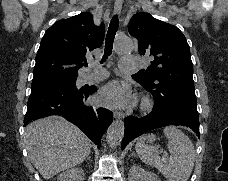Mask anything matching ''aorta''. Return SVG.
Returning <instances> with one entry per match:
<instances>
[{
  "label": "aorta",
  "instance_id": "aorta-1",
  "mask_svg": "<svg viewBox=\"0 0 228 181\" xmlns=\"http://www.w3.org/2000/svg\"><path fill=\"white\" fill-rule=\"evenodd\" d=\"M133 42L127 38H120L115 45V51L117 53H127L132 51ZM124 135V122L114 121L107 130L106 141L109 147L116 148L122 141Z\"/></svg>",
  "mask_w": 228,
  "mask_h": 181
}]
</instances>
